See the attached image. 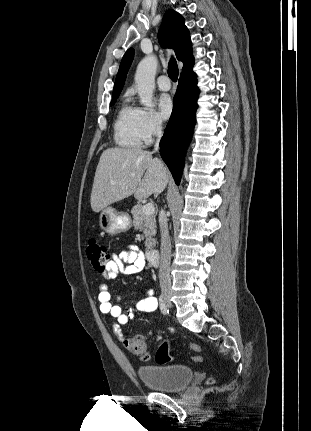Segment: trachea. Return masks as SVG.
I'll list each match as a JSON object with an SVG mask.
<instances>
[{
    "label": "trachea",
    "instance_id": "1",
    "mask_svg": "<svg viewBox=\"0 0 311 431\" xmlns=\"http://www.w3.org/2000/svg\"><path fill=\"white\" fill-rule=\"evenodd\" d=\"M168 76L173 81L176 82L178 79V65L174 58H171L168 65Z\"/></svg>",
    "mask_w": 311,
    "mask_h": 431
}]
</instances>
